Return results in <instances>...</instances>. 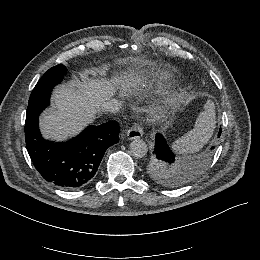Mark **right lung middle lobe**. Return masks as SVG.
Returning <instances> with one entry per match:
<instances>
[{"mask_svg":"<svg viewBox=\"0 0 260 260\" xmlns=\"http://www.w3.org/2000/svg\"><path fill=\"white\" fill-rule=\"evenodd\" d=\"M66 67L62 64L49 69L33 89L26 114V123L38 118L41 111L48 105L52 88L60 83L66 74Z\"/></svg>","mask_w":260,"mask_h":260,"instance_id":"right-lung-middle-lobe-1","label":"right lung middle lobe"}]
</instances>
